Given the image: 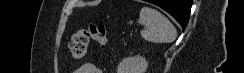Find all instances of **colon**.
<instances>
[{"instance_id":"obj_1","label":"colon","mask_w":244,"mask_h":73,"mask_svg":"<svg viewBox=\"0 0 244 73\" xmlns=\"http://www.w3.org/2000/svg\"><path fill=\"white\" fill-rule=\"evenodd\" d=\"M93 40L105 47L110 43L107 29L103 24L90 23L86 28H80L74 32L69 44L70 56L75 61L82 60L88 50L89 42Z\"/></svg>"}]
</instances>
